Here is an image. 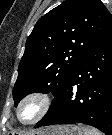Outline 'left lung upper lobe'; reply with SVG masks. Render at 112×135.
Wrapping results in <instances>:
<instances>
[{"label": "left lung upper lobe", "instance_id": "left-lung-upper-lobe-1", "mask_svg": "<svg viewBox=\"0 0 112 135\" xmlns=\"http://www.w3.org/2000/svg\"><path fill=\"white\" fill-rule=\"evenodd\" d=\"M110 25L112 15L100 0H66L42 16L18 67L15 106L33 92L56 96Z\"/></svg>", "mask_w": 112, "mask_h": 135}]
</instances>
